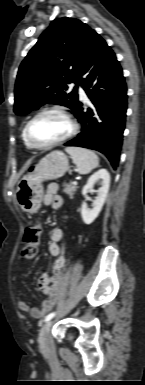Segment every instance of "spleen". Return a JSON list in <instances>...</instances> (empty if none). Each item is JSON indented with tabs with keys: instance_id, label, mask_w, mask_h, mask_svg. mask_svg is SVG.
Wrapping results in <instances>:
<instances>
[{
	"instance_id": "obj_1",
	"label": "spleen",
	"mask_w": 145,
	"mask_h": 385,
	"mask_svg": "<svg viewBox=\"0 0 145 385\" xmlns=\"http://www.w3.org/2000/svg\"><path fill=\"white\" fill-rule=\"evenodd\" d=\"M79 174H88L99 164V157L92 150L80 147H66Z\"/></svg>"
}]
</instances>
